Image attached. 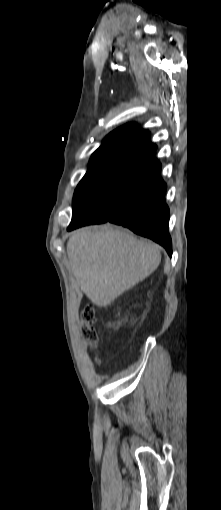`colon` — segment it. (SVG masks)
Returning <instances> with one entry per match:
<instances>
[{
    "label": "colon",
    "instance_id": "colon-1",
    "mask_svg": "<svg viewBox=\"0 0 221 510\" xmlns=\"http://www.w3.org/2000/svg\"><path fill=\"white\" fill-rule=\"evenodd\" d=\"M81 319L84 324L82 329V336L89 342L91 348L97 345V333L93 327L95 323V309L91 306H86L81 310ZM99 364V361H97Z\"/></svg>",
    "mask_w": 221,
    "mask_h": 510
}]
</instances>
